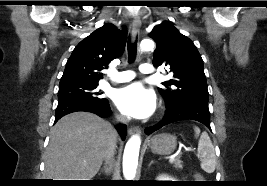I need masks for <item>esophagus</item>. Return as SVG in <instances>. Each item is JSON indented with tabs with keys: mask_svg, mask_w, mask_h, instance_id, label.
<instances>
[{
	"mask_svg": "<svg viewBox=\"0 0 267 186\" xmlns=\"http://www.w3.org/2000/svg\"><path fill=\"white\" fill-rule=\"evenodd\" d=\"M141 27V19L139 16H135L132 22V34L136 36ZM141 130L139 127H131L128 129V135L140 134Z\"/></svg>",
	"mask_w": 267,
	"mask_h": 186,
	"instance_id": "esophagus-1",
	"label": "esophagus"
}]
</instances>
